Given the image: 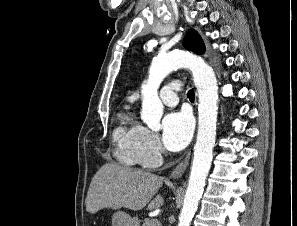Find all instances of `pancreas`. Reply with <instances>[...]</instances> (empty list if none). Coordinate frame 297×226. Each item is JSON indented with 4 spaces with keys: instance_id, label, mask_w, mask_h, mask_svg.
<instances>
[{
    "instance_id": "1",
    "label": "pancreas",
    "mask_w": 297,
    "mask_h": 226,
    "mask_svg": "<svg viewBox=\"0 0 297 226\" xmlns=\"http://www.w3.org/2000/svg\"><path fill=\"white\" fill-rule=\"evenodd\" d=\"M142 226H160L159 222H154V219H147Z\"/></svg>"
}]
</instances>
